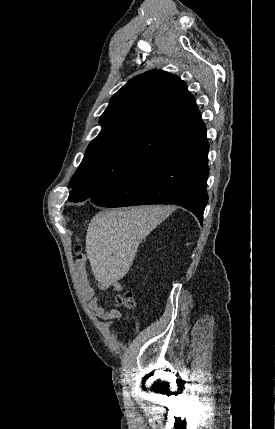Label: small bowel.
<instances>
[{
    "mask_svg": "<svg viewBox=\"0 0 275 429\" xmlns=\"http://www.w3.org/2000/svg\"><path fill=\"white\" fill-rule=\"evenodd\" d=\"M77 281L78 289L81 298L87 303L90 311L98 318L102 320H110L119 316L120 311L116 308L106 310L100 305L98 298L95 296L94 289L90 286L87 280L86 264L83 260H80L77 265ZM104 288L112 286L116 291H120L121 287L118 283L110 285H102Z\"/></svg>",
    "mask_w": 275,
    "mask_h": 429,
    "instance_id": "obj_1",
    "label": "small bowel"
}]
</instances>
